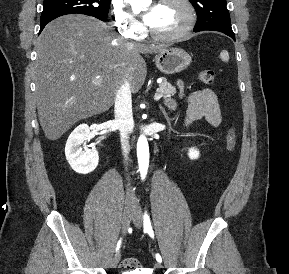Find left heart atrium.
I'll use <instances>...</instances> for the list:
<instances>
[{"label": "left heart atrium", "mask_w": 289, "mask_h": 274, "mask_svg": "<svg viewBox=\"0 0 289 274\" xmlns=\"http://www.w3.org/2000/svg\"><path fill=\"white\" fill-rule=\"evenodd\" d=\"M153 15H154V6H153L150 10H148V11L144 14V16H143L144 21H145L148 25H150V23L152 22V20H153Z\"/></svg>", "instance_id": "left-heart-atrium-1"}]
</instances>
